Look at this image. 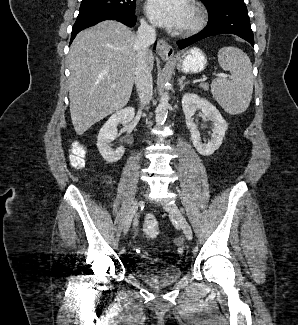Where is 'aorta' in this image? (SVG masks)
<instances>
[{"label": "aorta", "instance_id": "obj_1", "mask_svg": "<svg viewBox=\"0 0 298 325\" xmlns=\"http://www.w3.org/2000/svg\"><path fill=\"white\" fill-rule=\"evenodd\" d=\"M169 106H170V92L168 86H165L163 92H161L160 94V100L155 108L156 124H163V122H165Z\"/></svg>", "mask_w": 298, "mask_h": 325}]
</instances>
